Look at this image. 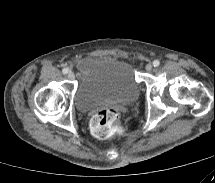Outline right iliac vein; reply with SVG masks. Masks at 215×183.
<instances>
[{
    "label": "right iliac vein",
    "mask_w": 215,
    "mask_h": 183,
    "mask_svg": "<svg viewBox=\"0 0 215 183\" xmlns=\"http://www.w3.org/2000/svg\"><path fill=\"white\" fill-rule=\"evenodd\" d=\"M68 78L71 79V80H73L75 78L74 73L73 72H69L68 73Z\"/></svg>",
    "instance_id": "1"
}]
</instances>
